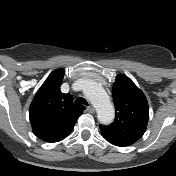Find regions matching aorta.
<instances>
[{
	"mask_svg": "<svg viewBox=\"0 0 176 176\" xmlns=\"http://www.w3.org/2000/svg\"><path fill=\"white\" fill-rule=\"evenodd\" d=\"M83 90L97 111L98 121L102 124H110L114 120L115 110L103 87L92 80H86Z\"/></svg>",
	"mask_w": 176,
	"mask_h": 176,
	"instance_id": "aorta-1",
	"label": "aorta"
}]
</instances>
